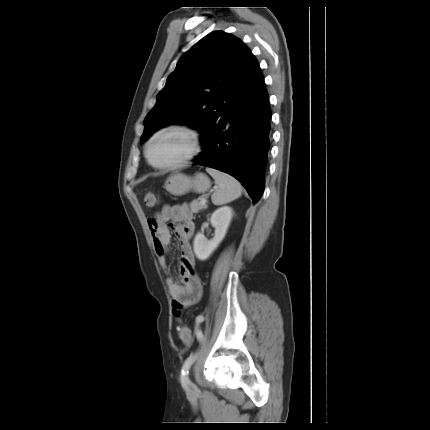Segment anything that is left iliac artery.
<instances>
[{
  "label": "left iliac artery",
  "instance_id": "44dca946",
  "mask_svg": "<svg viewBox=\"0 0 430 430\" xmlns=\"http://www.w3.org/2000/svg\"><path fill=\"white\" fill-rule=\"evenodd\" d=\"M195 320L197 321L195 324L196 325L195 331L197 333L198 340L201 342V341H203V338H204L203 333H202L203 330L201 328V325H202L201 322L204 320V317L201 314H198L195 317ZM195 359H196V354L191 353L189 355V357L185 360L183 367H182V370H181V381H182V383H188V381H189V379H188L189 370H190L191 365L195 361Z\"/></svg>",
  "mask_w": 430,
  "mask_h": 430
}]
</instances>
